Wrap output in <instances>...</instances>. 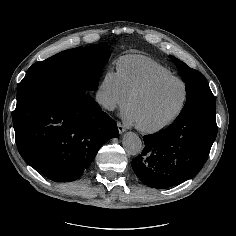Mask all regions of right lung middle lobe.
I'll return each instance as SVG.
<instances>
[{
	"mask_svg": "<svg viewBox=\"0 0 236 236\" xmlns=\"http://www.w3.org/2000/svg\"><path fill=\"white\" fill-rule=\"evenodd\" d=\"M109 48L106 44L74 48L34 63L19 83L17 103L35 94L69 87L96 90L99 73L110 56Z\"/></svg>",
	"mask_w": 236,
	"mask_h": 236,
	"instance_id": "obj_1",
	"label": "right lung middle lobe"
}]
</instances>
